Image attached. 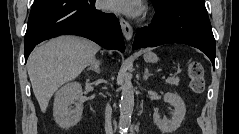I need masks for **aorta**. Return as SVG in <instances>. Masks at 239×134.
I'll return each mask as SVG.
<instances>
[{
    "mask_svg": "<svg viewBox=\"0 0 239 134\" xmlns=\"http://www.w3.org/2000/svg\"><path fill=\"white\" fill-rule=\"evenodd\" d=\"M134 108V90L131 76L125 74L122 84V96L120 101L119 131L121 134L127 133L131 126V116Z\"/></svg>",
    "mask_w": 239,
    "mask_h": 134,
    "instance_id": "762f6f07",
    "label": "aorta"
}]
</instances>
